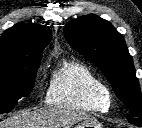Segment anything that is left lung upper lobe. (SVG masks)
I'll use <instances>...</instances> for the list:
<instances>
[{
    "instance_id": "1",
    "label": "left lung upper lobe",
    "mask_w": 142,
    "mask_h": 128,
    "mask_svg": "<svg viewBox=\"0 0 142 128\" xmlns=\"http://www.w3.org/2000/svg\"><path fill=\"white\" fill-rule=\"evenodd\" d=\"M67 42L104 73L117 97L130 110L128 121L142 127V99L133 59L123 36L100 17L89 14L64 27Z\"/></svg>"
}]
</instances>
